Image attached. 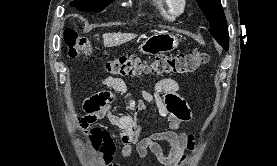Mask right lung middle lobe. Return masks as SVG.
Returning <instances> with one entry per match:
<instances>
[{
  "label": "right lung middle lobe",
  "instance_id": "right-lung-middle-lobe-1",
  "mask_svg": "<svg viewBox=\"0 0 277 166\" xmlns=\"http://www.w3.org/2000/svg\"><path fill=\"white\" fill-rule=\"evenodd\" d=\"M112 2L113 0H75L70 5L81 11L101 12Z\"/></svg>",
  "mask_w": 277,
  "mask_h": 166
}]
</instances>
